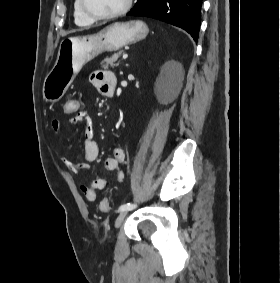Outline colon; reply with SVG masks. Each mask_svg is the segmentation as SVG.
<instances>
[{
  "instance_id": "obj_1",
  "label": "colon",
  "mask_w": 280,
  "mask_h": 283,
  "mask_svg": "<svg viewBox=\"0 0 280 283\" xmlns=\"http://www.w3.org/2000/svg\"><path fill=\"white\" fill-rule=\"evenodd\" d=\"M60 111L63 116H72L73 112H81L79 97H68V99H64V107H61ZM99 207L101 212H108L110 209L108 200L103 199Z\"/></svg>"
}]
</instances>
